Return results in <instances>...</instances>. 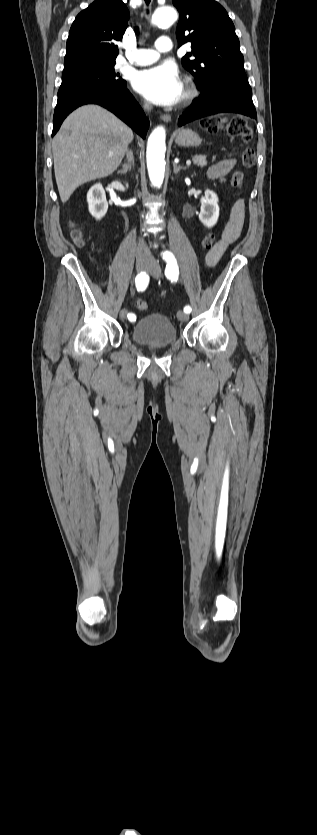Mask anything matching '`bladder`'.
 Returning <instances> with one entry per match:
<instances>
[{"instance_id":"1","label":"bladder","mask_w":317,"mask_h":835,"mask_svg":"<svg viewBox=\"0 0 317 835\" xmlns=\"http://www.w3.org/2000/svg\"><path fill=\"white\" fill-rule=\"evenodd\" d=\"M132 339L144 346H163L176 341L173 322L160 314H149L138 320L132 329Z\"/></svg>"}]
</instances>
